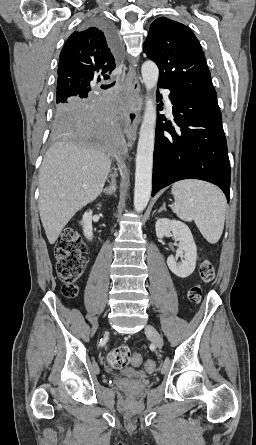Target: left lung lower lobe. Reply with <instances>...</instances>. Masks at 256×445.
I'll use <instances>...</instances> for the list:
<instances>
[{"instance_id": "obj_1", "label": "left lung lower lobe", "mask_w": 256, "mask_h": 445, "mask_svg": "<svg viewBox=\"0 0 256 445\" xmlns=\"http://www.w3.org/2000/svg\"><path fill=\"white\" fill-rule=\"evenodd\" d=\"M159 85L170 90L174 119L158 115L152 196L173 182L201 179L219 186L229 202L230 162L217 100Z\"/></svg>"}]
</instances>
